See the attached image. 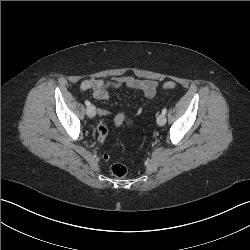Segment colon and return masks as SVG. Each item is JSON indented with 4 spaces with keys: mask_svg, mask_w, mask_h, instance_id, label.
Wrapping results in <instances>:
<instances>
[{
    "mask_svg": "<svg viewBox=\"0 0 250 250\" xmlns=\"http://www.w3.org/2000/svg\"><path fill=\"white\" fill-rule=\"evenodd\" d=\"M176 83L173 81H168L163 84V89L164 90H173L176 88ZM128 119V116L125 113H118L117 116L114 117V128L117 131L118 129L121 128V124L125 122ZM98 138L100 140L101 145H106L107 144V134H108V129L105 124V122L102 120L99 125H98ZM105 160H109V157L107 154L103 156ZM111 173L113 176L116 178H124L127 174V167L122 164V163H114L111 165Z\"/></svg>",
    "mask_w": 250,
    "mask_h": 250,
    "instance_id": "5ec220e1",
    "label": "colon"
}]
</instances>
